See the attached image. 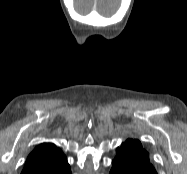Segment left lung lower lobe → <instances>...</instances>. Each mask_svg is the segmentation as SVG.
Returning <instances> with one entry per match:
<instances>
[{
    "label": "left lung lower lobe",
    "instance_id": "0a47b994",
    "mask_svg": "<svg viewBox=\"0 0 187 174\" xmlns=\"http://www.w3.org/2000/svg\"><path fill=\"white\" fill-rule=\"evenodd\" d=\"M110 174H137V173L132 172L129 169L125 168L121 163H113ZM142 174H157V172L156 171L151 172L147 169H144Z\"/></svg>",
    "mask_w": 187,
    "mask_h": 174
}]
</instances>
